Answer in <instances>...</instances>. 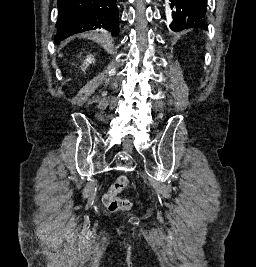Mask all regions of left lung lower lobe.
Masks as SVG:
<instances>
[{"label":"left lung lower lobe","mask_w":256,"mask_h":267,"mask_svg":"<svg viewBox=\"0 0 256 267\" xmlns=\"http://www.w3.org/2000/svg\"><path fill=\"white\" fill-rule=\"evenodd\" d=\"M173 23L171 29L180 31L205 24L207 0H170Z\"/></svg>","instance_id":"1"}]
</instances>
